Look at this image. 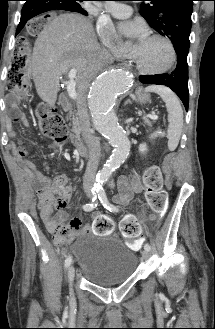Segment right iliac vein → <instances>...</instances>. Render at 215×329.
<instances>
[{
	"mask_svg": "<svg viewBox=\"0 0 215 329\" xmlns=\"http://www.w3.org/2000/svg\"><path fill=\"white\" fill-rule=\"evenodd\" d=\"M74 276H75V269L72 265L69 266L68 268V282H69V287H70V293L73 298V281H74Z\"/></svg>",
	"mask_w": 215,
	"mask_h": 329,
	"instance_id": "63e3f726",
	"label": "right iliac vein"
}]
</instances>
